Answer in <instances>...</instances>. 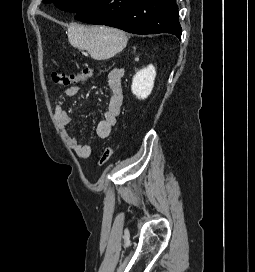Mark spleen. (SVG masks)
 I'll return each mask as SVG.
<instances>
[{
    "mask_svg": "<svg viewBox=\"0 0 255 272\" xmlns=\"http://www.w3.org/2000/svg\"><path fill=\"white\" fill-rule=\"evenodd\" d=\"M70 44L86 50L96 60L109 59L127 45L126 34L115 28L74 24L68 28Z\"/></svg>",
    "mask_w": 255,
    "mask_h": 272,
    "instance_id": "spleen-1",
    "label": "spleen"
}]
</instances>
